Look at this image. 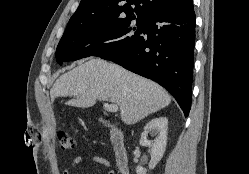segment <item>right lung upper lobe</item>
Segmentation results:
<instances>
[{"instance_id":"cb5924a9","label":"right lung upper lobe","mask_w":249,"mask_h":174,"mask_svg":"<svg viewBox=\"0 0 249 174\" xmlns=\"http://www.w3.org/2000/svg\"><path fill=\"white\" fill-rule=\"evenodd\" d=\"M190 3L192 0H81L67 27L110 21L133 12L137 19L145 20L157 12Z\"/></svg>"}]
</instances>
